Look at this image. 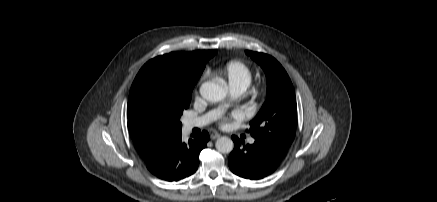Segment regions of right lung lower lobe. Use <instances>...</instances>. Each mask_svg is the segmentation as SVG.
<instances>
[{"label":"right lung lower lobe","instance_id":"1","mask_svg":"<svg viewBox=\"0 0 437 202\" xmlns=\"http://www.w3.org/2000/svg\"><path fill=\"white\" fill-rule=\"evenodd\" d=\"M208 141L207 131L189 139L188 143L182 141V133H179L146 160V166L152 174L166 181H178L189 177L196 172L199 154Z\"/></svg>","mask_w":437,"mask_h":202}]
</instances>
